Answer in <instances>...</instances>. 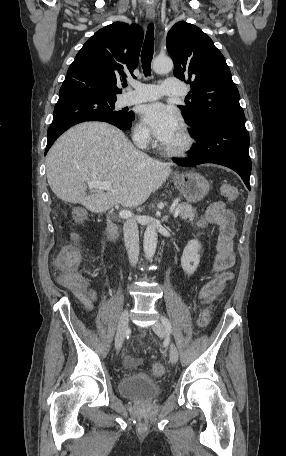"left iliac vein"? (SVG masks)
<instances>
[{
    "mask_svg": "<svg viewBox=\"0 0 286 456\" xmlns=\"http://www.w3.org/2000/svg\"><path fill=\"white\" fill-rule=\"evenodd\" d=\"M152 330L159 337L163 338V337L166 336L165 329H164L163 325L160 322H156L152 326ZM169 356H170V361L172 363H176L178 361V350H177V347L175 346V344L172 343V342H170V353H169Z\"/></svg>",
    "mask_w": 286,
    "mask_h": 456,
    "instance_id": "1",
    "label": "left iliac vein"
}]
</instances>
